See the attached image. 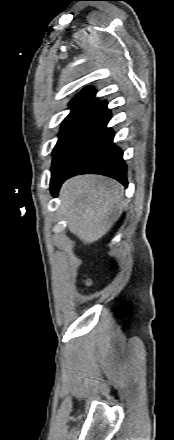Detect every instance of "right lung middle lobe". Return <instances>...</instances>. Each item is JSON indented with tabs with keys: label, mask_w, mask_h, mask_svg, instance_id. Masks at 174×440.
I'll return each mask as SVG.
<instances>
[{
	"label": "right lung middle lobe",
	"mask_w": 174,
	"mask_h": 440,
	"mask_svg": "<svg viewBox=\"0 0 174 440\" xmlns=\"http://www.w3.org/2000/svg\"><path fill=\"white\" fill-rule=\"evenodd\" d=\"M100 106L99 101L90 100L71 107L72 111L62 123L53 150L50 185L67 175L76 165L94 131Z\"/></svg>",
	"instance_id": "obj_1"
}]
</instances>
